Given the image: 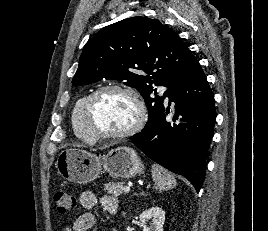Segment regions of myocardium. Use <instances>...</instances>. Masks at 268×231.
Returning a JSON list of instances; mask_svg holds the SVG:
<instances>
[{"label": "myocardium", "instance_id": "f54148a6", "mask_svg": "<svg viewBox=\"0 0 268 231\" xmlns=\"http://www.w3.org/2000/svg\"><path fill=\"white\" fill-rule=\"evenodd\" d=\"M106 92H117V93L124 94L128 96L135 104V107L137 110V117L135 121L128 128L121 130V131H117V132L97 131L93 128L90 116H91V111H92L94 101L98 98V96ZM83 117L85 121V126L88 132L91 134L93 140L99 139V138L123 139V138H127L129 136L134 135L135 133L139 132L144 127L147 113H146V108H145L142 98L133 89L124 87V86H119V85H105V86L99 87L88 96L84 104V108H83Z\"/></svg>", "mask_w": 268, "mask_h": 231}]
</instances>
